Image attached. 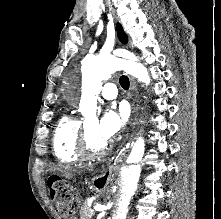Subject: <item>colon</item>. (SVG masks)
<instances>
[{
	"instance_id": "colon-1",
	"label": "colon",
	"mask_w": 221,
	"mask_h": 219,
	"mask_svg": "<svg viewBox=\"0 0 221 219\" xmlns=\"http://www.w3.org/2000/svg\"><path fill=\"white\" fill-rule=\"evenodd\" d=\"M50 186H51V190L57 193L58 195H62L64 191H67L66 183L63 181H51ZM74 199H75L74 192H69V194L67 195V202H68V207L70 209L69 210L70 213L73 212L74 203H75Z\"/></svg>"
}]
</instances>
